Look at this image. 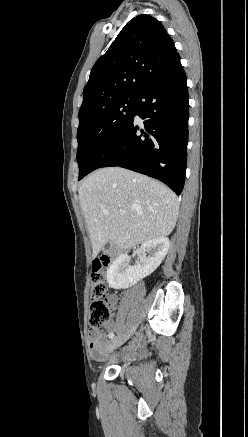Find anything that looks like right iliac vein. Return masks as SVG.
I'll return each mask as SVG.
<instances>
[{"label": "right iliac vein", "instance_id": "63e3f726", "mask_svg": "<svg viewBox=\"0 0 248 437\" xmlns=\"http://www.w3.org/2000/svg\"><path fill=\"white\" fill-rule=\"evenodd\" d=\"M134 332L135 328H133L129 334L112 339L106 346V351H111L121 346Z\"/></svg>", "mask_w": 248, "mask_h": 437}]
</instances>
